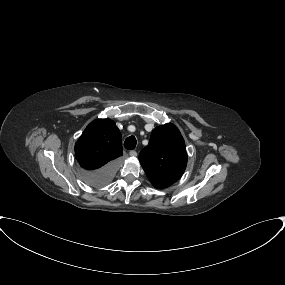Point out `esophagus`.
<instances>
[{
	"label": "esophagus",
	"instance_id": "1",
	"mask_svg": "<svg viewBox=\"0 0 285 285\" xmlns=\"http://www.w3.org/2000/svg\"><path fill=\"white\" fill-rule=\"evenodd\" d=\"M130 156L131 157H136L137 156V152L135 150L130 151Z\"/></svg>",
	"mask_w": 285,
	"mask_h": 285
}]
</instances>
